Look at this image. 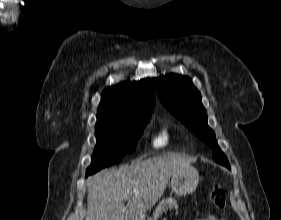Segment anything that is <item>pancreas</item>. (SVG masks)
I'll use <instances>...</instances> for the list:
<instances>
[{"mask_svg":"<svg viewBox=\"0 0 281 220\" xmlns=\"http://www.w3.org/2000/svg\"><path fill=\"white\" fill-rule=\"evenodd\" d=\"M178 209L177 201L172 197H168L166 199H162L159 204L157 205L155 211L153 212V216L148 220H158L159 216L166 210V209Z\"/></svg>","mask_w":281,"mask_h":220,"instance_id":"obj_1","label":"pancreas"}]
</instances>
